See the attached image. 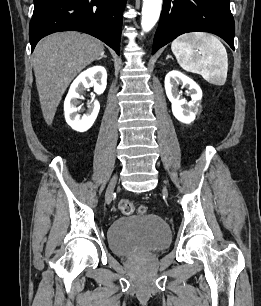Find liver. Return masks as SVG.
Here are the masks:
<instances>
[{
  "mask_svg": "<svg viewBox=\"0 0 261 306\" xmlns=\"http://www.w3.org/2000/svg\"><path fill=\"white\" fill-rule=\"evenodd\" d=\"M104 54L98 39L75 31L43 38L33 53V67L43 117L51 125L61 98L73 78Z\"/></svg>",
  "mask_w": 261,
  "mask_h": 306,
  "instance_id": "obj_1",
  "label": "liver"
}]
</instances>
